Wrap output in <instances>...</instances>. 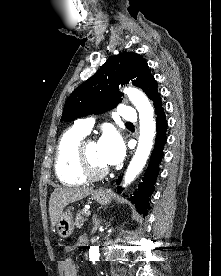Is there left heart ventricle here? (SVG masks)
I'll use <instances>...</instances> for the list:
<instances>
[{
	"mask_svg": "<svg viewBox=\"0 0 221 276\" xmlns=\"http://www.w3.org/2000/svg\"><path fill=\"white\" fill-rule=\"evenodd\" d=\"M87 155L96 170H103L107 168V165L100 158L98 144L96 142H90L87 145Z\"/></svg>",
	"mask_w": 221,
	"mask_h": 276,
	"instance_id": "b2bd125f",
	"label": "left heart ventricle"
}]
</instances>
